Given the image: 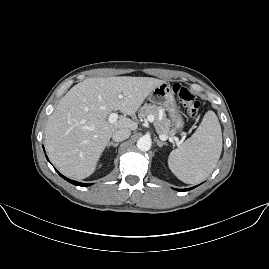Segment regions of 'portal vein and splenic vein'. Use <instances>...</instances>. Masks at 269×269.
<instances>
[{
    "mask_svg": "<svg viewBox=\"0 0 269 269\" xmlns=\"http://www.w3.org/2000/svg\"><path fill=\"white\" fill-rule=\"evenodd\" d=\"M125 96H126L125 94H119V95H118V98L122 99V98H124ZM117 119H119V114H118V113L113 112V113L110 114V116H109V122H110V123H114V122H116ZM148 120H149V122H153V121H154V117H153V115H148ZM158 138H159L161 141H165V140H167V135H165V134H159V135H158Z\"/></svg>",
    "mask_w": 269,
    "mask_h": 269,
    "instance_id": "1",
    "label": "portal vein and splenic vein"
}]
</instances>
